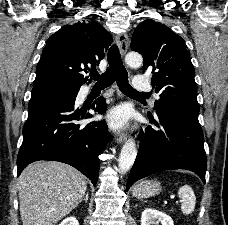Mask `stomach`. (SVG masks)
I'll return each mask as SVG.
<instances>
[{"mask_svg":"<svg viewBox=\"0 0 228 225\" xmlns=\"http://www.w3.org/2000/svg\"><path fill=\"white\" fill-rule=\"evenodd\" d=\"M162 187L159 181H141L136 185L133 195L136 199H148V197H155L161 193Z\"/></svg>","mask_w":228,"mask_h":225,"instance_id":"stomach-1","label":"stomach"}]
</instances>
